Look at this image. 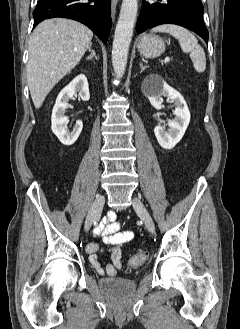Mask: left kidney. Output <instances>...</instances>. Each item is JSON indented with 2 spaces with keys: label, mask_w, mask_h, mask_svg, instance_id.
<instances>
[{
  "label": "left kidney",
  "mask_w": 240,
  "mask_h": 329,
  "mask_svg": "<svg viewBox=\"0 0 240 329\" xmlns=\"http://www.w3.org/2000/svg\"><path fill=\"white\" fill-rule=\"evenodd\" d=\"M155 83L154 88H148ZM142 90L149 99L151 105L160 110L162 107V97H168L172 100L176 108L174 110L175 118L169 120L168 130L160 123L154 128V133L159 145L164 149H172L182 139L190 122V112L182 95L170 87L164 79L158 74H150L142 83ZM165 124V122H163Z\"/></svg>",
  "instance_id": "obj_1"
}]
</instances>
